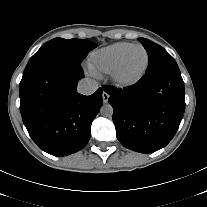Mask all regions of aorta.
Listing matches in <instances>:
<instances>
[{
	"label": "aorta",
	"instance_id": "1",
	"mask_svg": "<svg viewBox=\"0 0 207 207\" xmlns=\"http://www.w3.org/2000/svg\"><path fill=\"white\" fill-rule=\"evenodd\" d=\"M100 113L104 117H111L113 115V107L110 104H104L100 109Z\"/></svg>",
	"mask_w": 207,
	"mask_h": 207
}]
</instances>
